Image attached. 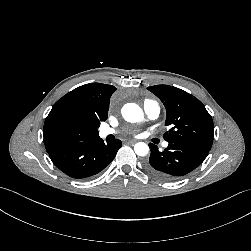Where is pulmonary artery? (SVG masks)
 <instances>
[{
	"instance_id": "1",
	"label": "pulmonary artery",
	"mask_w": 251,
	"mask_h": 251,
	"mask_svg": "<svg viewBox=\"0 0 251 251\" xmlns=\"http://www.w3.org/2000/svg\"><path fill=\"white\" fill-rule=\"evenodd\" d=\"M143 109H144V112H145L147 118L150 120H154V119L158 118V116L160 114V106L154 100H146L143 104ZM116 132L117 131L113 128L105 127V128H102L99 130V136L104 138L109 135L115 134ZM163 146L167 147L168 143L165 142L163 144Z\"/></svg>"
}]
</instances>
